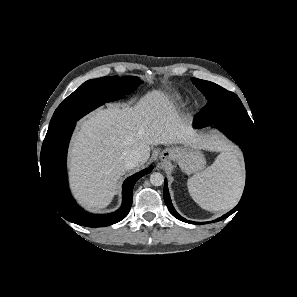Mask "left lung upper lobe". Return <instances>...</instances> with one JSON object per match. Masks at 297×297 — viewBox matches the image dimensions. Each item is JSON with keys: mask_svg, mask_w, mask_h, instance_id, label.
Instances as JSON below:
<instances>
[{"mask_svg": "<svg viewBox=\"0 0 297 297\" xmlns=\"http://www.w3.org/2000/svg\"><path fill=\"white\" fill-rule=\"evenodd\" d=\"M193 84L208 100L194 122L200 126L228 123L255 132V126L238 96L221 86L192 78Z\"/></svg>", "mask_w": 297, "mask_h": 297, "instance_id": "1", "label": "left lung upper lobe"}]
</instances>
